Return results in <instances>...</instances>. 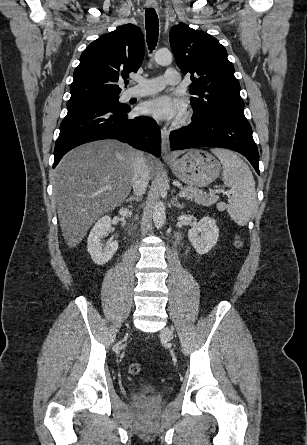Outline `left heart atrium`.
I'll list each match as a JSON object with an SVG mask.
<instances>
[{"label":"left heart atrium","instance_id":"1","mask_svg":"<svg viewBox=\"0 0 307 445\" xmlns=\"http://www.w3.org/2000/svg\"><path fill=\"white\" fill-rule=\"evenodd\" d=\"M142 112L159 120H169L180 117L184 112V104L181 100L173 98L166 93L149 98L141 108Z\"/></svg>","mask_w":307,"mask_h":445}]
</instances>
